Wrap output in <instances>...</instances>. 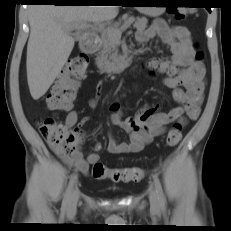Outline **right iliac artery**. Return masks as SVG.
Masks as SVG:
<instances>
[{
    "label": "right iliac artery",
    "instance_id": "1",
    "mask_svg": "<svg viewBox=\"0 0 231 231\" xmlns=\"http://www.w3.org/2000/svg\"><path fill=\"white\" fill-rule=\"evenodd\" d=\"M76 180H77V174H73L70 181H69L68 187L66 189V192H65V195L63 198L62 207L64 210L67 208V205H68L70 197H71V192H72V189H73V186H74Z\"/></svg>",
    "mask_w": 231,
    "mask_h": 231
}]
</instances>
